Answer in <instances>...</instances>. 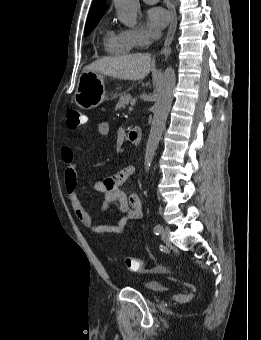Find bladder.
Here are the masks:
<instances>
[{"instance_id": "31cf9c89", "label": "bladder", "mask_w": 261, "mask_h": 340, "mask_svg": "<svg viewBox=\"0 0 261 340\" xmlns=\"http://www.w3.org/2000/svg\"><path fill=\"white\" fill-rule=\"evenodd\" d=\"M141 288L149 294H155L163 289L160 281H149L141 285Z\"/></svg>"}]
</instances>
